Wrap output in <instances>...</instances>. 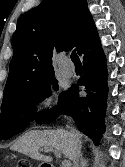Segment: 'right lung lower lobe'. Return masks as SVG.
Here are the masks:
<instances>
[{"instance_id":"obj_1","label":"right lung lower lobe","mask_w":125,"mask_h":167,"mask_svg":"<svg viewBox=\"0 0 125 167\" xmlns=\"http://www.w3.org/2000/svg\"><path fill=\"white\" fill-rule=\"evenodd\" d=\"M84 74L65 92L58 104L46 111L36 121L50 123L59 115L71 116L86 136L99 144L105 130V111L108 95L106 59L96 34L82 49ZM78 86H84L86 96L79 95Z\"/></svg>"}]
</instances>
